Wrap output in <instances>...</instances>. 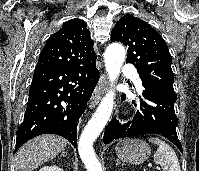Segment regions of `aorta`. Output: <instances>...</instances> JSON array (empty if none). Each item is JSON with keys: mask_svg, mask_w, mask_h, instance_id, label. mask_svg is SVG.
<instances>
[{"mask_svg": "<svg viewBox=\"0 0 199 171\" xmlns=\"http://www.w3.org/2000/svg\"><path fill=\"white\" fill-rule=\"evenodd\" d=\"M124 59L125 49L121 44L113 43L107 47L105 51V67L112 84L119 76ZM113 104L114 91L109 90L80 136L78 152L87 171H102L101 164L95 156L92 144L108 122Z\"/></svg>", "mask_w": 199, "mask_h": 171, "instance_id": "aorta-1", "label": "aorta"}]
</instances>
